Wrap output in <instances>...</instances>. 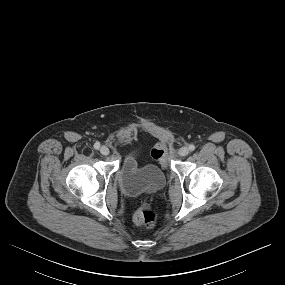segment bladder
<instances>
[{
	"instance_id": "bladder-1",
	"label": "bladder",
	"mask_w": 285,
	"mask_h": 285,
	"mask_svg": "<svg viewBox=\"0 0 285 285\" xmlns=\"http://www.w3.org/2000/svg\"><path fill=\"white\" fill-rule=\"evenodd\" d=\"M138 151L135 147L125 155L117 174L121 189L128 195L158 190L166 183V176L158 166L139 165Z\"/></svg>"
}]
</instances>
